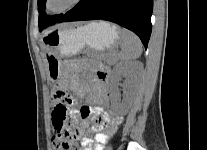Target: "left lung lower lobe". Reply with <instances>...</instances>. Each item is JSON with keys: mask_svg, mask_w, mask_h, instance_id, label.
<instances>
[{"mask_svg": "<svg viewBox=\"0 0 207 150\" xmlns=\"http://www.w3.org/2000/svg\"><path fill=\"white\" fill-rule=\"evenodd\" d=\"M153 0H81L58 22L102 19L136 33L147 48Z\"/></svg>", "mask_w": 207, "mask_h": 150, "instance_id": "obj_1", "label": "left lung lower lobe"}]
</instances>
